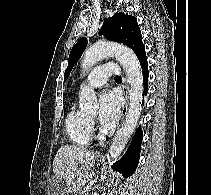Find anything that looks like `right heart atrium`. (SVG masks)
I'll use <instances>...</instances> for the list:
<instances>
[{"label": "right heart atrium", "instance_id": "1", "mask_svg": "<svg viewBox=\"0 0 211 195\" xmlns=\"http://www.w3.org/2000/svg\"><path fill=\"white\" fill-rule=\"evenodd\" d=\"M89 121H90L91 130L93 131L95 129V121L92 118H90Z\"/></svg>", "mask_w": 211, "mask_h": 195}]
</instances>
